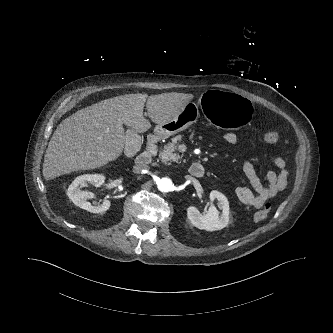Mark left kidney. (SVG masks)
<instances>
[{
    "instance_id": "5707ae66",
    "label": "left kidney",
    "mask_w": 333,
    "mask_h": 333,
    "mask_svg": "<svg viewBox=\"0 0 333 333\" xmlns=\"http://www.w3.org/2000/svg\"><path fill=\"white\" fill-rule=\"evenodd\" d=\"M210 200L218 201V208L222 210L221 214H219V211L214 205H211L204 215H202L196 207L190 206L187 209V217L198 229L206 231L221 230L226 227L229 222V202L222 193L216 190L210 192Z\"/></svg>"
}]
</instances>
